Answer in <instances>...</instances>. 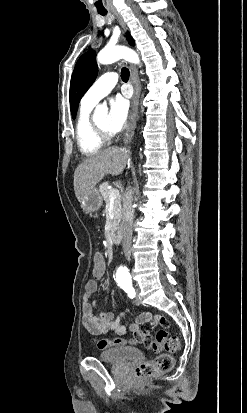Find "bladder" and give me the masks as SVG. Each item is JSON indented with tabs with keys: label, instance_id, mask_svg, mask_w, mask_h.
I'll return each instance as SVG.
<instances>
[{
	"label": "bladder",
	"instance_id": "bladder-1",
	"mask_svg": "<svg viewBox=\"0 0 247 413\" xmlns=\"http://www.w3.org/2000/svg\"><path fill=\"white\" fill-rule=\"evenodd\" d=\"M98 359L105 362L126 364L130 360L143 359V352L131 347L112 348L104 353H99Z\"/></svg>",
	"mask_w": 247,
	"mask_h": 413
}]
</instances>
